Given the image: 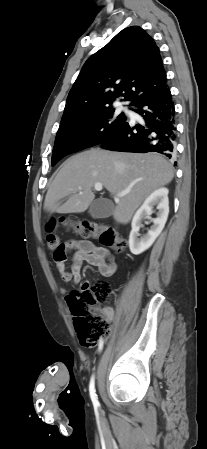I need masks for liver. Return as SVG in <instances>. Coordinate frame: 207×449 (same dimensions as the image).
I'll return each instance as SVG.
<instances>
[{
	"label": "liver",
	"mask_w": 207,
	"mask_h": 449,
	"mask_svg": "<svg viewBox=\"0 0 207 449\" xmlns=\"http://www.w3.org/2000/svg\"><path fill=\"white\" fill-rule=\"evenodd\" d=\"M173 177L172 165L160 155L90 149L63 164L47 191L44 209L50 213H82L95 198L93 186L101 183L114 197L130 191L118 197L112 213L117 222L127 224L145 198Z\"/></svg>",
	"instance_id": "1"
}]
</instances>
